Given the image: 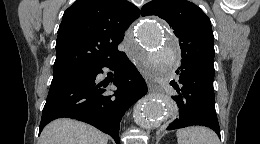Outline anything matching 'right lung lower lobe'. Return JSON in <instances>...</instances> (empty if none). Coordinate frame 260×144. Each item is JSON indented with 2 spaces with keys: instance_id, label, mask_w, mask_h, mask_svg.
<instances>
[{
  "instance_id": "obj_1",
  "label": "right lung lower lobe",
  "mask_w": 260,
  "mask_h": 144,
  "mask_svg": "<svg viewBox=\"0 0 260 144\" xmlns=\"http://www.w3.org/2000/svg\"><path fill=\"white\" fill-rule=\"evenodd\" d=\"M115 70V94L106 93L107 85L95 82L102 68ZM147 93L146 83L124 52L100 63L87 64L51 82L39 127L69 117L93 125L119 144V126L129 107Z\"/></svg>"
}]
</instances>
